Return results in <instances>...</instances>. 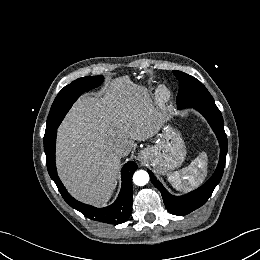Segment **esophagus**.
Wrapping results in <instances>:
<instances>
[{"instance_id":"1","label":"esophagus","mask_w":260,"mask_h":260,"mask_svg":"<svg viewBox=\"0 0 260 260\" xmlns=\"http://www.w3.org/2000/svg\"><path fill=\"white\" fill-rule=\"evenodd\" d=\"M142 157L141 156H138V160H140Z\"/></svg>"}]
</instances>
